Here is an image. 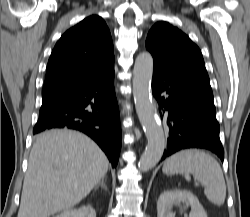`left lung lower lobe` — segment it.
<instances>
[{"label": "left lung lower lobe", "mask_w": 250, "mask_h": 217, "mask_svg": "<svg viewBox=\"0 0 250 217\" xmlns=\"http://www.w3.org/2000/svg\"><path fill=\"white\" fill-rule=\"evenodd\" d=\"M152 93L161 118L167 121V148L161 160L188 148L208 149L224 160L208 76L170 71L154 64Z\"/></svg>", "instance_id": "obj_1"}]
</instances>
